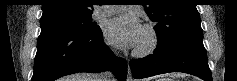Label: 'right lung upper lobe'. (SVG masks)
<instances>
[{
    "label": "right lung upper lobe",
    "instance_id": "1",
    "mask_svg": "<svg viewBox=\"0 0 237 81\" xmlns=\"http://www.w3.org/2000/svg\"><path fill=\"white\" fill-rule=\"evenodd\" d=\"M42 19L66 16H86L93 12L92 0H44Z\"/></svg>",
    "mask_w": 237,
    "mask_h": 81
}]
</instances>
